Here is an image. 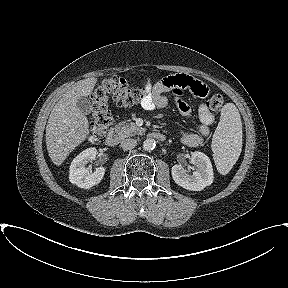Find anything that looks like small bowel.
<instances>
[{
  "mask_svg": "<svg viewBox=\"0 0 288 288\" xmlns=\"http://www.w3.org/2000/svg\"><path fill=\"white\" fill-rule=\"evenodd\" d=\"M144 84L149 90V93L141 102V105L145 110L165 108L168 105V99L165 96V93L172 92L175 96L176 106L184 117H189L191 115L190 107L182 99L184 90H190L198 97H206L209 93L205 84L183 74L168 76L157 82L147 80ZM198 117L200 121L198 132L184 131L181 134L182 143L190 147L199 146L209 137L210 126L215 119L214 114L205 103L200 104L198 108Z\"/></svg>",
  "mask_w": 288,
  "mask_h": 288,
  "instance_id": "obj_1",
  "label": "small bowel"
}]
</instances>
